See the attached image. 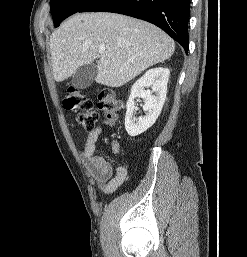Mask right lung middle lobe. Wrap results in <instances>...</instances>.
I'll return each instance as SVG.
<instances>
[{
  "label": "right lung middle lobe",
  "mask_w": 247,
  "mask_h": 257,
  "mask_svg": "<svg viewBox=\"0 0 247 257\" xmlns=\"http://www.w3.org/2000/svg\"><path fill=\"white\" fill-rule=\"evenodd\" d=\"M90 1L91 0H51L50 8L54 27H58L65 18L78 12Z\"/></svg>",
  "instance_id": "obj_1"
}]
</instances>
